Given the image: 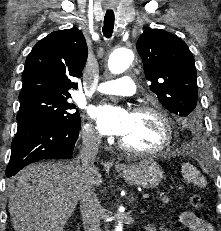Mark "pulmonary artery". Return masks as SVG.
<instances>
[{"mask_svg":"<svg viewBox=\"0 0 221 231\" xmlns=\"http://www.w3.org/2000/svg\"><path fill=\"white\" fill-rule=\"evenodd\" d=\"M98 92L110 95L130 96L135 92V83L129 76L102 82L97 88Z\"/></svg>","mask_w":221,"mask_h":231,"instance_id":"e3ab8cb5","label":"pulmonary artery"}]
</instances>
